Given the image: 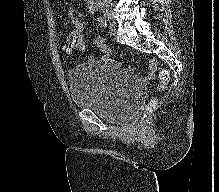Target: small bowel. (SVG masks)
I'll return each instance as SVG.
<instances>
[{
	"instance_id": "1",
	"label": "small bowel",
	"mask_w": 219,
	"mask_h": 192,
	"mask_svg": "<svg viewBox=\"0 0 219 192\" xmlns=\"http://www.w3.org/2000/svg\"><path fill=\"white\" fill-rule=\"evenodd\" d=\"M97 6L93 0H89L88 2V10L90 13H94ZM71 23L73 25V30L68 35L66 40L65 49L67 52H70L68 49V42L74 40H80L83 44L85 49V37H84V14L82 12L77 13L76 15L71 16ZM94 45L98 48L101 53L100 60L101 62H109L110 61V50L106 45L104 39L101 36H96L93 38ZM157 61L156 60H149L148 62V72L143 76L144 81H151L154 78L155 71L157 69ZM127 70H131L129 67Z\"/></svg>"
}]
</instances>
